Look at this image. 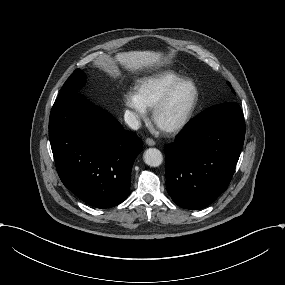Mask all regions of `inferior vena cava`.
Listing matches in <instances>:
<instances>
[{
	"label": "inferior vena cava",
	"mask_w": 285,
	"mask_h": 285,
	"mask_svg": "<svg viewBox=\"0 0 285 285\" xmlns=\"http://www.w3.org/2000/svg\"><path fill=\"white\" fill-rule=\"evenodd\" d=\"M125 123L132 129V130H138L140 127V122L137 120V118L130 112L126 111L124 114Z\"/></svg>",
	"instance_id": "1"
}]
</instances>
